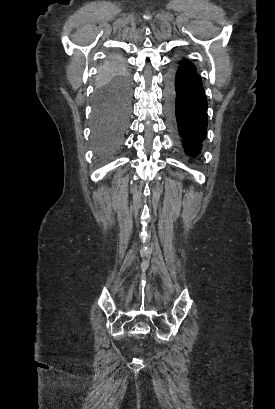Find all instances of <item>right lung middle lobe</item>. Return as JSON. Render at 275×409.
Here are the masks:
<instances>
[{"mask_svg": "<svg viewBox=\"0 0 275 409\" xmlns=\"http://www.w3.org/2000/svg\"><path fill=\"white\" fill-rule=\"evenodd\" d=\"M130 74L115 54H109L95 85L92 135L100 160L110 159L122 146L130 115Z\"/></svg>", "mask_w": 275, "mask_h": 409, "instance_id": "obj_1", "label": "right lung middle lobe"}]
</instances>
